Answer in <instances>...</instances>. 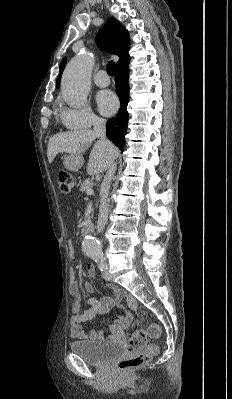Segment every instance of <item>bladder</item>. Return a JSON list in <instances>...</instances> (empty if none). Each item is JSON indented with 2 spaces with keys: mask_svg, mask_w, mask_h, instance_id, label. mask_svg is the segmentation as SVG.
Returning a JSON list of instances; mask_svg holds the SVG:
<instances>
[{
  "mask_svg": "<svg viewBox=\"0 0 232 399\" xmlns=\"http://www.w3.org/2000/svg\"><path fill=\"white\" fill-rule=\"evenodd\" d=\"M70 350L89 364L101 365L121 355L124 348L119 343L81 340L71 342Z\"/></svg>",
  "mask_w": 232,
  "mask_h": 399,
  "instance_id": "31cf9c89",
  "label": "bladder"
}]
</instances>
